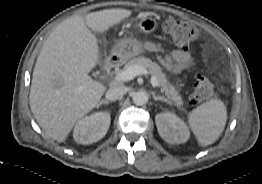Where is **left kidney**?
I'll list each match as a JSON object with an SVG mask.
<instances>
[{"label": "left kidney", "mask_w": 262, "mask_h": 184, "mask_svg": "<svg viewBox=\"0 0 262 184\" xmlns=\"http://www.w3.org/2000/svg\"><path fill=\"white\" fill-rule=\"evenodd\" d=\"M155 123L159 135L167 143H185L190 137V130L185 122L172 112L157 114Z\"/></svg>", "instance_id": "obj_1"}]
</instances>
